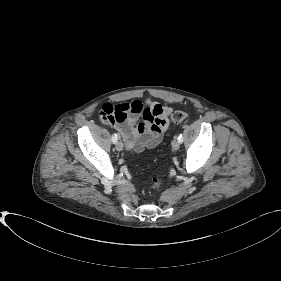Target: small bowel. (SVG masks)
<instances>
[{
  "instance_id": "1",
  "label": "small bowel",
  "mask_w": 281,
  "mask_h": 281,
  "mask_svg": "<svg viewBox=\"0 0 281 281\" xmlns=\"http://www.w3.org/2000/svg\"><path fill=\"white\" fill-rule=\"evenodd\" d=\"M135 102L139 103L140 109L130 111L123 122L104 121L115 127L128 150L138 153L144 148H153L161 142L168 128L171 109L152 99L146 100L145 108L139 101L132 102L131 108Z\"/></svg>"
}]
</instances>
